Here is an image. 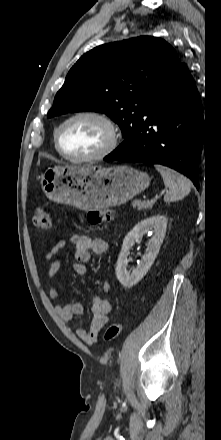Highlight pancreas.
<instances>
[{"mask_svg": "<svg viewBox=\"0 0 221 440\" xmlns=\"http://www.w3.org/2000/svg\"><path fill=\"white\" fill-rule=\"evenodd\" d=\"M154 202L151 201H141L134 200L132 206L138 210H151L153 208Z\"/></svg>", "mask_w": 221, "mask_h": 440, "instance_id": "pancreas-1", "label": "pancreas"}]
</instances>
